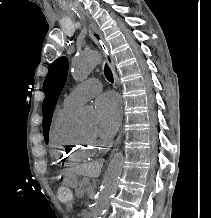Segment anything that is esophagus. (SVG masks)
Here are the masks:
<instances>
[{
  "label": "esophagus",
  "mask_w": 211,
  "mask_h": 218,
  "mask_svg": "<svg viewBox=\"0 0 211 218\" xmlns=\"http://www.w3.org/2000/svg\"><path fill=\"white\" fill-rule=\"evenodd\" d=\"M88 29H89V35L92 38V40L104 52L107 65H109V67H110V69H111V71L113 73L114 82L118 86H120L119 82H118V76H117V73H116V70H115V65L113 63V59H112V56H111L110 51H109V46H108L107 42L104 40L102 32L93 23L89 24ZM123 105H124V100H123V97H121L120 98V117H121L120 121H121V123H126V121H127L126 118H123ZM121 136H122L121 132H116L115 136L112 138V141H111L112 144H118L119 141H120ZM116 149H117L116 145H108L109 152H112V150H116ZM106 159H109V156H106Z\"/></svg>",
  "instance_id": "esophagus-1"
}]
</instances>
